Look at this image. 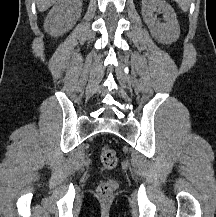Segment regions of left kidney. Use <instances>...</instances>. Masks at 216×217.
Returning <instances> with one entry per match:
<instances>
[{
    "label": "left kidney",
    "mask_w": 216,
    "mask_h": 217,
    "mask_svg": "<svg viewBox=\"0 0 216 217\" xmlns=\"http://www.w3.org/2000/svg\"><path fill=\"white\" fill-rule=\"evenodd\" d=\"M159 9L164 14L165 23H160L153 12ZM142 16L152 37L163 44L175 42L180 35V27L174 9L164 0H142Z\"/></svg>",
    "instance_id": "left-kidney-1"
}]
</instances>
